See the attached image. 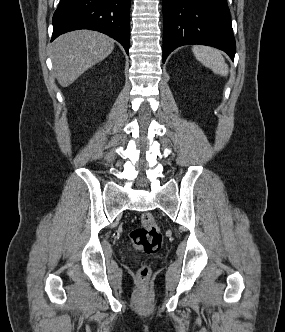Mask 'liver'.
I'll return each mask as SVG.
<instances>
[{"mask_svg":"<svg viewBox=\"0 0 285 332\" xmlns=\"http://www.w3.org/2000/svg\"><path fill=\"white\" fill-rule=\"evenodd\" d=\"M113 49L114 40L97 31L77 30L59 36L50 49L57 81L62 87L69 86Z\"/></svg>","mask_w":285,"mask_h":332,"instance_id":"6515ba94","label":"liver"}]
</instances>
